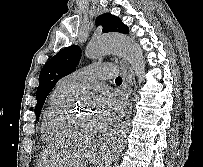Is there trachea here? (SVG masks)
Listing matches in <instances>:
<instances>
[{"label": "trachea", "mask_w": 203, "mask_h": 167, "mask_svg": "<svg viewBox=\"0 0 203 167\" xmlns=\"http://www.w3.org/2000/svg\"><path fill=\"white\" fill-rule=\"evenodd\" d=\"M115 82H120L122 83V78L120 76H118L116 79H115Z\"/></svg>", "instance_id": "1"}]
</instances>
